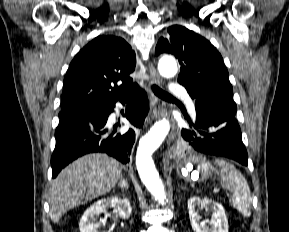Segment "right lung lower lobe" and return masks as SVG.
I'll use <instances>...</instances> for the list:
<instances>
[{
    "mask_svg": "<svg viewBox=\"0 0 289 232\" xmlns=\"http://www.w3.org/2000/svg\"><path fill=\"white\" fill-rule=\"evenodd\" d=\"M128 100V99H127ZM127 100L121 102L125 104ZM115 105L92 108L86 114L60 119L55 132L56 146L51 157L52 177L76 158L91 152H104L122 163L129 162L135 132L116 133L106 125ZM148 112V101L143 91L135 92L126 118L137 128L143 126Z\"/></svg>",
    "mask_w": 289,
    "mask_h": 232,
    "instance_id": "right-lung-lower-lobe-1",
    "label": "right lung lower lobe"
}]
</instances>
